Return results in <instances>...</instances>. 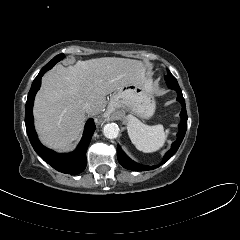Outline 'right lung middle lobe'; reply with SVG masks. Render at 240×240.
<instances>
[{
	"label": "right lung middle lobe",
	"instance_id": "1",
	"mask_svg": "<svg viewBox=\"0 0 240 240\" xmlns=\"http://www.w3.org/2000/svg\"><path fill=\"white\" fill-rule=\"evenodd\" d=\"M64 58V54H59L57 56H55L50 62L49 64H56L58 61H60L61 59Z\"/></svg>",
	"mask_w": 240,
	"mask_h": 240
}]
</instances>
